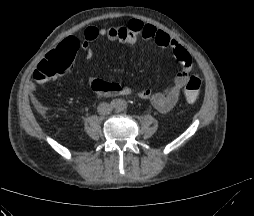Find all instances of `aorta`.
Segmentation results:
<instances>
[{
	"label": "aorta",
	"mask_w": 254,
	"mask_h": 216,
	"mask_svg": "<svg viewBox=\"0 0 254 216\" xmlns=\"http://www.w3.org/2000/svg\"><path fill=\"white\" fill-rule=\"evenodd\" d=\"M115 107H116V109H118L120 111L125 110L127 108V102L122 99H117L116 103H115Z\"/></svg>",
	"instance_id": "762f6f07"
}]
</instances>
